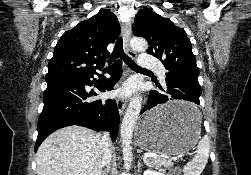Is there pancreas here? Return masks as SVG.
<instances>
[{
    "label": "pancreas",
    "mask_w": 251,
    "mask_h": 175,
    "mask_svg": "<svg viewBox=\"0 0 251 175\" xmlns=\"http://www.w3.org/2000/svg\"><path fill=\"white\" fill-rule=\"evenodd\" d=\"M146 165L149 167H156V169H161L163 165H172L173 161L169 159H162V157H145Z\"/></svg>",
    "instance_id": "1"
}]
</instances>
